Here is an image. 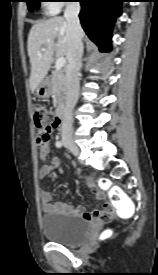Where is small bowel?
<instances>
[{
	"mask_svg": "<svg viewBox=\"0 0 158 275\" xmlns=\"http://www.w3.org/2000/svg\"><path fill=\"white\" fill-rule=\"evenodd\" d=\"M59 126L60 124L57 126V128H59ZM37 147L39 150L40 158L42 160H47L50 154L49 142L37 140ZM59 164H60L59 158L57 157L51 158L49 161H47L44 165L40 167L39 177L40 178L47 177L54 169H56L59 166ZM89 186L94 191L96 198L103 201L105 203V206H108V202L106 200L104 193L100 191L94 183H90ZM41 205L45 213H49L52 211H59L62 213H73L75 215H79L88 220H95L96 218H100V214L102 212L99 210L88 212L83 207H80V206L74 207L62 201L53 202L51 194L46 191H41Z\"/></svg>",
	"mask_w": 158,
	"mask_h": 275,
	"instance_id": "c3829d8e",
	"label": "small bowel"
}]
</instances>
